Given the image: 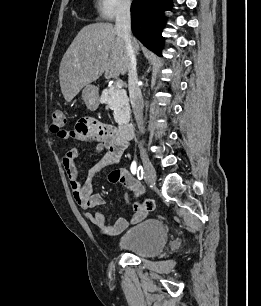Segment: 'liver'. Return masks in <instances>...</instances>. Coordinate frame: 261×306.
Masks as SVG:
<instances>
[{
    "mask_svg": "<svg viewBox=\"0 0 261 306\" xmlns=\"http://www.w3.org/2000/svg\"><path fill=\"white\" fill-rule=\"evenodd\" d=\"M135 52L138 43L132 40ZM129 58L124 40L111 23L83 27L65 52L59 68L60 87L70 102L79 91L103 73L106 79L125 75Z\"/></svg>",
    "mask_w": 261,
    "mask_h": 306,
    "instance_id": "liver-1",
    "label": "liver"
}]
</instances>
